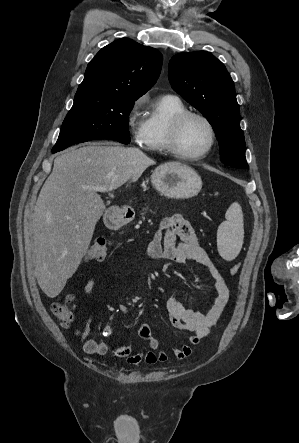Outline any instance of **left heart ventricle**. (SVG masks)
<instances>
[{"instance_id":"left-heart-ventricle-1","label":"left heart ventricle","mask_w":299,"mask_h":443,"mask_svg":"<svg viewBox=\"0 0 299 443\" xmlns=\"http://www.w3.org/2000/svg\"><path fill=\"white\" fill-rule=\"evenodd\" d=\"M209 140L210 134L206 124L199 118L190 117L182 126L179 147L187 154H199L207 148Z\"/></svg>"}]
</instances>
